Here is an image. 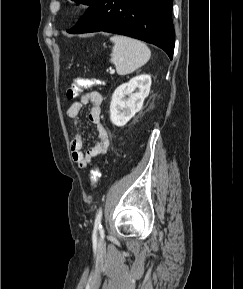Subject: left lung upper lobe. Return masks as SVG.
I'll return each instance as SVG.
<instances>
[{"label":"left lung upper lobe","mask_w":243,"mask_h":289,"mask_svg":"<svg viewBox=\"0 0 243 289\" xmlns=\"http://www.w3.org/2000/svg\"><path fill=\"white\" fill-rule=\"evenodd\" d=\"M75 2H80V3H84V4H90L93 0H73Z\"/></svg>","instance_id":"5c2ea615"}]
</instances>
